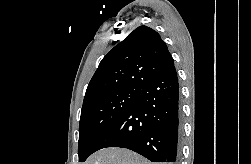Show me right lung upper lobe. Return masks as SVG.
Instances as JSON below:
<instances>
[{"mask_svg": "<svg viewBox=\"0 0 251 164\" xmlns=\"http://www.w3.org/2000/svg\"><path fill=\"white\" fill-rule=\"evenodd\" d=\"M173 65L160 35L147 26H139L102 59L89 82L83 104L119 89H139Z\"/></svg>", "mask_w": 251, "mask_h": 164, "instance_id": "1", "label": "right lung upper lobe"}]
</instances>
